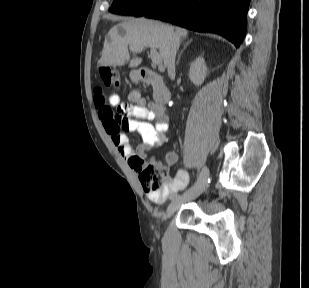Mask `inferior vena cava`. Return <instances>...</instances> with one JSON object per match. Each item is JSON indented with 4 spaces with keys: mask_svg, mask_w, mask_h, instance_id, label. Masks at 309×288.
<instances>
[{
    "mask_svg": "<svg viewBox=\"0 0 309 288\" xmlns=\"http://www.w3.org/2000/svg\"><path fill=\"white\" fill-rule=\"evenodd\" d=\"M179 43L177 41L173 42L168 54V59H167V69H168V74L172 75L175 72V57H176V52L178 49Z\"/></svg>",
    "mask_w": 309,
    "mask_h": 288,
    "instance_id": "1",
    "label": "inferior vena cava"
}]
</instances>
